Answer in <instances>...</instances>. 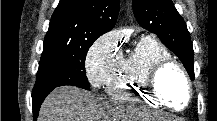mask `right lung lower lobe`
<instances>
[{"label": "right lung lower lobe", "instance_id": "98d812e1", "mask_svg": "<svg viewBox=\"0 0 217 121\" xmlns=\"http://www.w3.org/2000/svg\"><path fill=\"white\" fill-rule=\"evenodd\" d=\"M53 89L45 92V93H42L40 95H36V96H32V104H33V117H34V120L37 119L38 117V113H39V110H40V106L42 104V102L44 101V99L46 98V96L52 91Z\"/></svg>", "mask_w": 217, "mask_h": 121}]
</instances>
